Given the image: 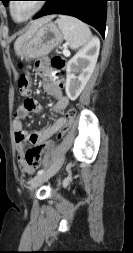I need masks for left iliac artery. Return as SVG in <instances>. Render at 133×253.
I'll return each mask as SVG.
<instances>
[{
	"label": "left iliac artery",
	"mask_w": 133,
	"mask_h": 253,
	"mask_svg": "<svg viewBox=\"0 0 133 253\" xmlns=\"http://www.w3.org/2000/svg\"><path fill=\"white\" fill-rule=\"evenodd\" d=\"M45 172V169H41V170H39L38 172H37V175H40V174H42V173H44Z\"/></svg>",
	"instance_id": "44dca946"
}]
</instances>
